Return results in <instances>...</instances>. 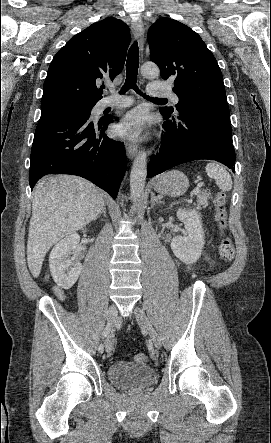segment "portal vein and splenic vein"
I'll return each mask as SVG.
<instances>
[{
	"label": "portal vein and splenic vein",
	"mask_w": 271,
	"mask_h": 443,
	"mask_svg": "<svg viewBox=\"0 0 271 443\" xmlns=\"http://www.w3.org/2000/svg\"><path fill=\"white\" fill-rule=\"evenodd\" d=\"M200 186H203V182H200ZM199 192H200V187L198 185H195L190 190V197L196 196L197 194H199ZM177 204H178V202H177Z\"/></svg>",
	"instance_id": "obj_1"
}]
</instances>
